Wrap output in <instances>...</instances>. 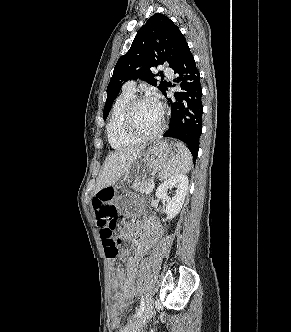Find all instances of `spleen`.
<instances>
[{
    "label": "spleen",
    "instance_id": "1",
    "mask_svg": "<svg viewBox=\"0 0 291 332\" xmlns=\"http://www.w3.org/2000/svg\"><path fill=\"white\" fill-rule=\"evenodd\" d=\"M175 145L177 147V154L159 173L161 180H167L175 176L186 174L192 168V155L189 149L182 142H176Z\"/></svg>",
    "mask_w": 291,
    "mask_h": 332
}]
</instances>
